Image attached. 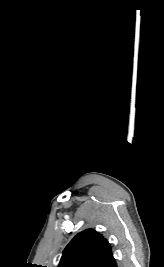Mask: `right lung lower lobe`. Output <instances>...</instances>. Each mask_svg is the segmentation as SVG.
I'll list each match as a JSON object with an SVG mask.
<instances>
[{
  "label": "right lung lower lobe",
  "mask_w": 164,
  "mask_h": 267,
  "mask_svg": "<svg viewBox=\"0 0 164 267\" xmlns=\"http://www.w3.org/2000/svg\"><path fill=\"white\" fill-rule=\"evenodd\" d=\"M101 267H117L114 258L112 257L106 263H104Z\"/></svg>",
  "instance_id": "obj_1"
}]
</instances>
